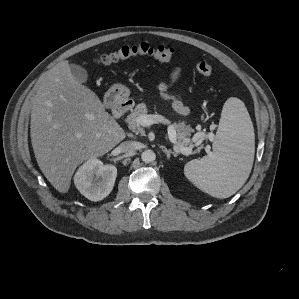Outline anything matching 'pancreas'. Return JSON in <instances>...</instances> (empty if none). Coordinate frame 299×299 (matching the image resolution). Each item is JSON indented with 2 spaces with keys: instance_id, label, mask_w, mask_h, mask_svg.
<instances>
[{
  "instance_id": "cf45deb5",
  "label": "pancreas",
  "mask_w": 299,
  "mask_h": 299,
  "mask_svg": "<svg viewBox=\"0 0 299 299\" xmlns=\"http://www.w3.org/2000/svg\"><path fill=\"white\" fill-rule=\"evenodd\" d=\"M148 112L147 106L145 103L138 104L134 110L127 117L129 128L136 134H144V129L137 123V118L140 115H146ZM176 130V140L177 144L180 147L194 146L200 143V140L205 137L203 133L197 134L195 139H190L189 136L194 132V129L187 125L185 121H180L173 124Z\"/></svg>"
}]
</instances>
